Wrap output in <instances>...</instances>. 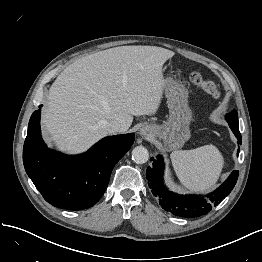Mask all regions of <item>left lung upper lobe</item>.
<instances>
[{
  "label": "left lung upper lobe",
  "mask_w": 262,
  "mask_h": 262,
  "mask_svg": "<svg viewBox=\"0 0 262 262\" xmlns=\"http://www.w3.org/2000/svg\"><path fill=\"white\" fill-rule=\"evenodd\" d=\"M226 120L227 122L229 121H233V122H237L238 123V113L236 110H233L230 113L226 114Z\"/></svg>",
  "instance_id": "obj_1"
}]
</instances>
